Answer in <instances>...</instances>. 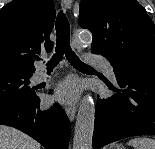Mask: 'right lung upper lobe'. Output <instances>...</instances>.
I'll return each mask as SVG.
<instances>
[{
    "instance_id": "obj_1",
    "label": "right lung upper lobe",
    "mask_w": 155,
    "mask_h": 149,
    "mask_svg": "<svg viewBox=\"0 0 155 149\" xmlns=\"http://www.w3.org/2000/svg\"><path fill=\"white\" fill-rule=\"evenodd\" d=\"M52 0H13L0 10V67L33 74L35 54L50 52Z\"/></svg>"
}]
</instances>
